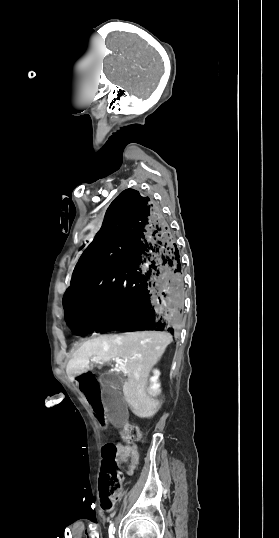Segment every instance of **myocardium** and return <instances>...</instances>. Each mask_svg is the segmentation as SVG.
Returning a JSON list of instances; mask_svg holds the SVG:
<instances>
[{
    "label": "myocardium",
    "instance_id": "obj_1",
    "mask_svg": "<svg viewBox=\"0 0 279 538\" xmlns=\"http://www.w3.org/2000/svg\"><path fill=\"white\" fill-rule=\"evenodd\" d=\"M74 234H76V231H75V229H74Z\"/></svg>",
    "mask_w": 279,
    "mask_h": 538
}]
</instances>
